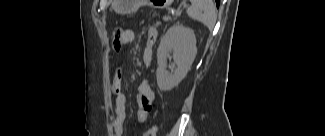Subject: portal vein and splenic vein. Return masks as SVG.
Returning <instances> with one entry per match:
<instances>
[{
  "instance_id": "obj_1",
  "label": "portal vein and splenic vein",
  "mask_w": 325,
  "mask_h": 136,
  "mask_svg": "<svg viewBox=\"0 0 325 136\" xmlns=\"http://www.w3.org/2000/svg\"><path fill=\"white\" fill-rule=\"evenodd\" d=\"M184 7H186V6L184 5ZM181 12H182L181 10H177L176 15L179 16L181 14Z\"/></svg>"
}]
</instances>
